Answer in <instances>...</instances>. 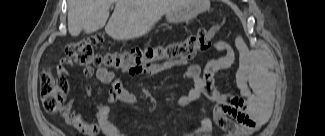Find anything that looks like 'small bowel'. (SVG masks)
<instances>
[{
	"instance_id": "1",
	"label": "small bowel",
	"mask_w": 325,
	"mask_h": 136,
	"mask_svg": "<svg viewBox=\"0 0 325 136\" xmlns=\"http://www.w3.org/2000/svg\"><path fill=\"white\" fill-rule=\"evenodd\" d=\"M215 32L210 31L207 46L222 56L213 59L201 67L191 64L181 74L182 79L189 80L193 87L187 94L172 99L171 103L178 107H185L193 102L202 103L199 125L195 129V135H206L215 121L230 135H245L254 132L258 126L268 121L272 107V91L270 75L268 72V60L265 52L261 50L250 51L243 39L238 36L233 43L215 39ZM238 60V68L235 73V83L239 95L220 94L213 83L215 74L231 68ZM184 62H168L160 67L150 69L146 75L152 77L159 70L170 69L183 65ZM72 64L62 60L56 73L60 92L64 98H73V91H69V77L66 76L67 68ZM84 75L91 78L93 75L104 84L111 85V91L107 101L96 108V120L89 122L86 115L78 113L70 102L65 110V117L69 124L85 135L93 136L99 133L105 136H124L111 122L110 110L113 102L133 104L137 102V96L127 90L122 81L107 69L85 68ZM216 102L209 115L208 103ZM231 117L234 120L228 118Z\"/></svg>"
}]
</instances>
